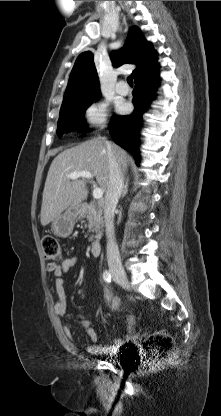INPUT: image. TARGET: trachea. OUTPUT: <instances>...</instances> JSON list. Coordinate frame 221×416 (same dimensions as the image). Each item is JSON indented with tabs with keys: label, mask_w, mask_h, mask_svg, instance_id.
Returning <instances> with one entry per match:
<instances>
[{
	"label": "trachea",
	"mask_w": 221,
	"mask_h": 416,
	"mask_svg": "<svg viewBox=\"0 0 221 416\" xmlns=\"http://www.w3.org/2000/svg\"><path fill=\"white\" fill-rule=\"evenodd\" d=\"M127 82H128V84H129L130 86H133V77H132V76H129V77L127 78Z\"/></svg>",
	"instance_id": "1"
}]
</instances>
